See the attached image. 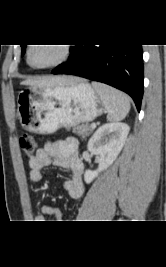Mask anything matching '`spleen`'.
<instances>
[{"mask_svg":"<svg viewBox=\"0 0 166 267\" xmlns=\"http://www.w3.org/2000/svg\"><path fill=\"white\" fill-rule=\"evenodd\" d=\"M107 110V119L112 122L123 120L130 110V99L121 91L101 83H92Z\"/></svg>","mask_w":166,"mask_h":267,"instance_id":"1","label":"spleen"}]
</instances>
